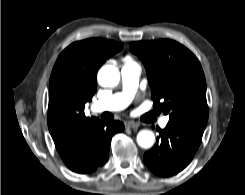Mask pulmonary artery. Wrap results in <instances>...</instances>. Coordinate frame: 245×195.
Returning a JSON list of instances; mask_svg holds the SVG:
<instances>
[{"mask_svg":"<svg viewBox=\"0 0 245 195\" xmlns=\"http://www.w3.org/2000/svg\"><path fill=\"white\" fill-rule=\"evenodd\" d=\"M140 74V65L135 61L126 59L121 68V91L94 102L92 105V110L94 112H103L120 111L125 109L134 98L137 91ZM168 121V116L162 117L160 120V126L164 128Z\"/></svg>","mask_w":245,"mask_h":195,"instance_id":"e3ab8cb5","label":"pulmonary artery"}]
</instances>
